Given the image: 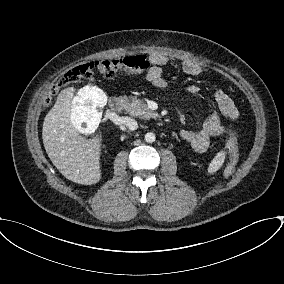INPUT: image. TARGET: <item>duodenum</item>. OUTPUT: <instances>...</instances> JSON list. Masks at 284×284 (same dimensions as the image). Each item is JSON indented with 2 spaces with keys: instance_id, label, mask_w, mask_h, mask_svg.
<instances>
[{
  "instance_id": "obj_1",
  "label": "duodenum",
  "mask_w": 284,
  "mask_h": 284,
  "mask_svg": "<svg viewBox=\"0 0 284 284\" xmlns=\"http://www.w3.org/2000/svg\"><path fill=\"white\" fill-rule=\"evenodd\" d=\"M109 107L115 113H120L123 111L124 105L119 97H112L109 100Z\"/></svg>"
}]
</instances>
